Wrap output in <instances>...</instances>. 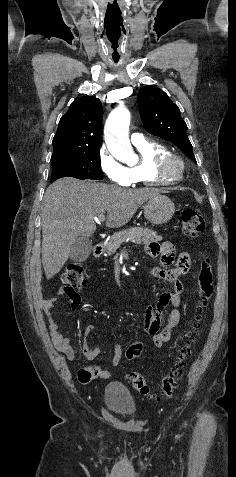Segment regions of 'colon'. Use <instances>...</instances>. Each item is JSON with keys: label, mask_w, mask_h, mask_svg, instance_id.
<instances>
[{"label": "colon", "mask_w": 236, "mask_h": 477, "mask_svg": "<svg viewBox=\"0 0 236 477\" xmlns=\"http://www.w3.org/2000/svg\"><path fill=\"white\" fill-rule=\"evenodd\" d=\"M181 221L182 231L188 237H195L205 229V220L203 216L194 209H184L181 213ZM182 259L188 261L186 255H183ZM61 280L66 294H75L76 291L83 289L87 282L83 269L78 264H68L62 273ZM213 289L212 268L209 262L204 261L198 273V302L196 305L193 331L185 334L187 339L185 345L178 349L172 366L162 377L161 393H154L142 374L131 372L128 375L132 387L142 395L155 400H160L162 397L169 398L172 396L178 386L179 379L182 377L186 360L191 353L192 344L195 339V332L198 330L203 314L208 307ZM143 350V344L141 342H135L127 348L125 357L128 360L135 359L142 355Z\"/></svg>", "instance_id": "1"}]
</instances>
